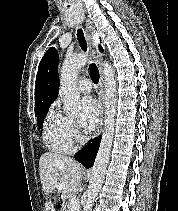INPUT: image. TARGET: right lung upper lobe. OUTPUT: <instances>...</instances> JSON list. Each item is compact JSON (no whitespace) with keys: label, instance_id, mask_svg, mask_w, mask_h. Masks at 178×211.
<instances>
[{"label":"right lung upper lobe","instance_id":"right-lung-upper-lobe-1","mask_svg":"<svg viewBox=\"0 0 178 211\" xmlns=\"http://www.w3.org/2000/svg\"><path fill=\"white\" fill-rule=\"evenodd\" d=\"M103 52V49L100 48ZM58 52L50 48L42 58L35 83V114L48 109L59 93Z\"/></svg>","mask_w":178,"mask_h":211}]
</instances>
